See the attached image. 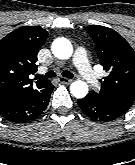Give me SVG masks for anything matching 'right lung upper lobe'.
I'll return each instance as SVG.
<instances>
[{
	"mask_svg": "<svg viewBox=\"0 0 135 165\" xmlns=\"http://www.w3.org/2000/svg\"><path fill=\"white\" fill-rule=\"evenodd\" d=\"M47 37L48 32L39 26H24L0 40V98L17 92L46 91L51 83L33 81L30 75L37 71V54Z\"/></svg>",
	"mask_w": 135,
	"mask_h": 165,
	"instance_id": "obj_1",
	"label": "right lung upper lobe"
}]
</instances>
